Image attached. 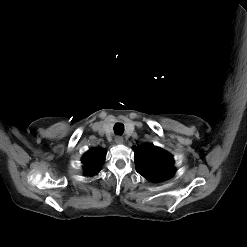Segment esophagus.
Listing matches in <instances>:
<instances>
[{
  "label": "esophagus",
  "mask_w": 247,
  "mask_h": 247,
  "mask_svg": "<svg viewBox=\"0 0 247 247\" xmlns=\"http://www.w3.org/2000/svg\"><path fill=\"white\" fill-rule=\"evenodd\" d=\"M115 142H116L117 144H122V143L124 142V139H123V137H121V136H117V137L115 138Z\"/></svg>",
  "instance_id": "esophagus-1"
}]
</instances>
